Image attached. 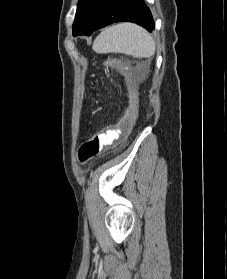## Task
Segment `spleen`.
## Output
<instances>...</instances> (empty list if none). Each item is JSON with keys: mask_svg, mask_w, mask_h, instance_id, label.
Segmentation results:
<instances>
[{"mask_svg": "<svg viewBox=\"0 0 227 279\" xmlns=\"http://www.w3.org/2000/svg\"><path fill=\"white\" fill-rule=\"evenodd\" d=\"M96 53H123L138 58L151 57L155 42L143 28L132 23H120L106 28L94 40Z\"/></svg>", "mask_w": 227, "mask_h": 279, "instance_id": "spleen-1", "label": "spleen"}]
</instances>
